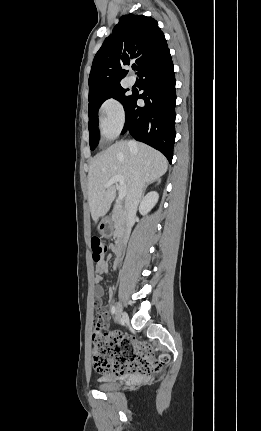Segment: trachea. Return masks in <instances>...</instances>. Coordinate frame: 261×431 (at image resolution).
Returning a JSON list of instances; mask_svg holds the SVG:
<instances>
[{"label":"trachea","instance_id":"1","mask_svg":"<svg viewBox=\"0 0 261 431\" xmlns=\"http://www.w3.org/2000/svg\"><path fill=\"white\" fill-rule=\"evenodd\" d=\"M133 68V70H135L136 69V67H132Z\"/></svg>","mask_w":261,"mask_h":431}]
</instances>
